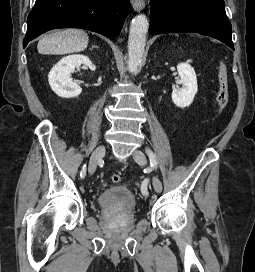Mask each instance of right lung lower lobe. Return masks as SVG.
I'll use <instances>...</instances> for the list:
<instances>
[{
    "instance_id": "right-lung-lower-lobe-1",
    "label": "right lung lower lobe",
    "mask_w": 255,
    "mask_h": 272,
    "mask_svg": "<svg viewBox=\"0 0 255 272\" xmlns=\"http://www.w3.org/2000/svg\"><path fill=\"white\" fill-rule=\"evenodd\" d=\"M129 10V0H36L28 15L23 47L42 33L59 28L117 37Z\"/></svg>"
}]
</instances>
